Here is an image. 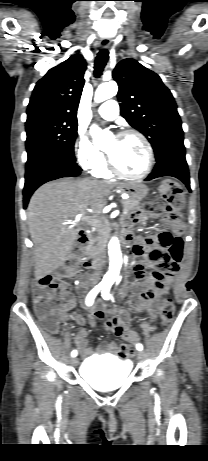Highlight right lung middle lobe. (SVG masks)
<instances>
[{
  "mask_svg": "<svg viewBox=\"0 0 208 461\" xmlns=\"http://www.w3.org/2000/svg\"><path fill=\"white\" fill-rule=\"evenodd\" d=\"M78 122L65 118L27 117V163L46 153H58L75 161Z\"/></svg>",
  "mask_w": 208,
  "mask_h": 461,
  "instance_id": "1",
  "label": "right lung middle lobe"
}]
</instances>
